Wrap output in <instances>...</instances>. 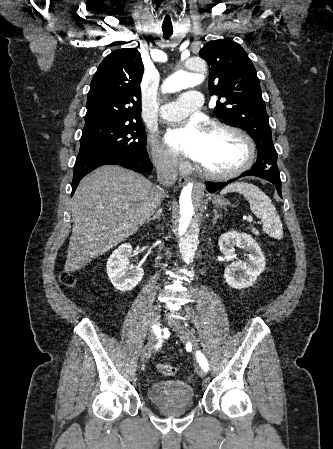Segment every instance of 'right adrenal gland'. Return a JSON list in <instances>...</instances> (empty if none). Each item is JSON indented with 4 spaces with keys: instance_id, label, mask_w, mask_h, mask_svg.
Segmentation results:
<instances>
[{
    "instance_id": "obj_1",
    "label": "right adrenal gland",
    "mask_w": 333,
    "mask_h": 449,
    "mask_svg": "<svg viewBox=\"0 0 333 449\" xmlns=\"http://www.w3.org/2000/svg\"><path fill=\"white\" fill-rule=\"evenodd\" d=\"M161 213H162L161 209L157 210V212L154 214V216L147 220V223L150 222L151 220H158V221H160L161 220L160 219Z\"/></svg>"
}]
</instances>
